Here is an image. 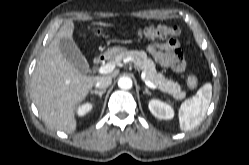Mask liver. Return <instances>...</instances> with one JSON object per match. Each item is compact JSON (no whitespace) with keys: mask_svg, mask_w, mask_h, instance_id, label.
Segmentation results:
<instances>
[{"mask_svg":"<svg viewBox=\"0 0 249 165\" xmlns=\"http://www.w3.org/2000/svg\"><path fill=\"white\" fill-rule=\"evenodd\" d=\"M108 26L106 23H95ZM74 23L67 21L57 32L37 61L32 81L31 96L42 120L50 127L72 133L77 121L74 112L84 101L98 77L82 74L63 56L61 38L72 39ZM119 70L107 76L115 77Z\"/></svg>","mask_w":249,"mask_h":165,"instance_id":"obj_1","label":"liver"}]
</instances>
